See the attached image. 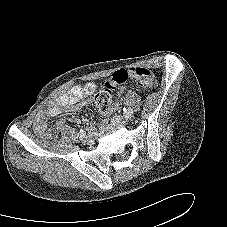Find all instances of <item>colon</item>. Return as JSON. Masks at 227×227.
<instances>
[{
  "label": "colon",
  "instance_id": "obj_1",
  "mask_svg": "<svg viewBox=\"0 0 227 227\" xmlns=\"http://www.w3.org/2000/svg\"><path fill=\"white\" fill-rule=\"evenodd\" d=\"M128 79L134 80L143 89H152L157 85L155 74L148 68L132 67L117 70L106 80L104 87L95 96V104L100 111H109L112 101V90L125 83Z\"/></svg>",
  "mask_w": 227,
  "mask_h": 227
}]
</instances>
